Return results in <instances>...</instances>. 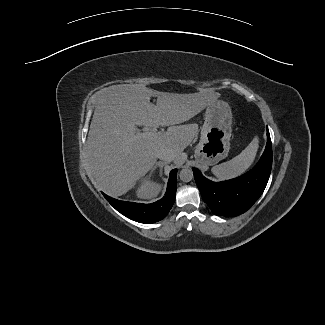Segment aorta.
<instances>
[{
  "label": "aorta",
  "instance_id": "obj_1",
  "mask_svg": "<svg viewBox=\"0 0 325 325\" xmlns=\"http://www.w3.org/2000/svg\"><path fill=\"white\" fill-rule=\"evenodd\" d=\"M179 177L183 182H190L193 179V172L191 169H182L179 173Z\"/></svg>",
  "mask_w": 325,
  "mask_h": 325
}]
</instances>
